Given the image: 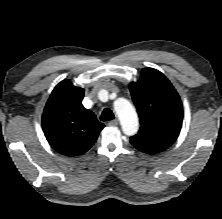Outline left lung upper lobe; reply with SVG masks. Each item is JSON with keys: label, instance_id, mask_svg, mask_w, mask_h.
<instances>
[{"label": "left lung upper lobe", "instance_id": "obj_1", "mask_svg": "<svg viewBox=\"0 0 222 219\" xmlns=\"http://www.w3.org/2000/svg\"><path fill=\"white\" fill-rule=\"evenodd\" d=\"M140 117V130L130 138L136 148L161 152L178 137L183 120L180 97L158 70L144 68L138 82L129 84Z\"/></svg>", "mask_w": 222, "mask_h": 219}]
</instances>
